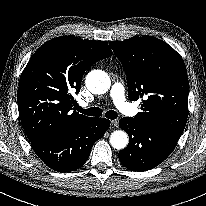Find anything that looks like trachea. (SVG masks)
I'll return each instance as SVG.
<instances>
[{"instance_id": "trachea-1", "label": "trachea", "mask_w": 206, "mask_h": 206, "mask_svg": "<svg viewBox=\"0 0 206 206\" xmlns=\"http://www.w3.org/2000/svg\"><path fill=\"white\" fill-rule=\"evenodd\" d=\"M76 108L79 112H81L85 115H88V116H94V117L102 116V110L98 107L83 109L80 106H77ZM105 117L108 118V119H116L118 117V114L113 110H109L105 113Z\"/></svg>"}]
</instances>
